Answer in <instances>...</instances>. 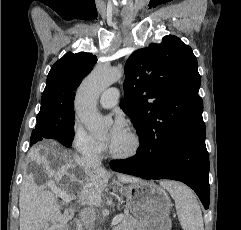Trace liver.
Masks as SVG:
<instances>
[{
  "instance_id": "6515ba94",
  "label": "liver",
  "mask_w": 241,
  "mask_h": 230,
  "mask_svg": "<svg viewBox=\"0 0 241 230\" xmlns=\"http://www.w3.org/2000/svg\"><path fill=\"white\" fill-rule=\"evenodd\" d=\"M30 161L36 165L35 173L26 175L22 181L19 195L20 230H41L51 222L52 229H63L65 222L59 214L56 197L44 185H38L35 178L39 173L48 179L54 178L59 183L63 177L69 179L70 184L78 186L77 196L70 194L72 185L65 186L66 196L77 197L86 203H100L101 193L108 185V175L104 168L93 167L84 176L78 174L77 167L84 168L82 158L71 152L60 150L56 146L31 149ZM122 183H134L138 178L118 175ZM57 222H59L57 224Z\"/></svg>"
}]
</instances>
